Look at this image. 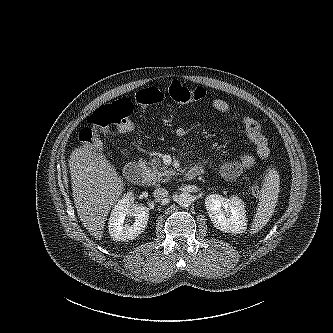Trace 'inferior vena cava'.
Here are the masks:
<instances>
[{"label": "inferior vena cava", "instance_id": "1", "mask_svg": "<svg viewBox=\"0 0 333 333\" xmlns=\"http://www.w3.org/2000/svg\"><path fill=\"white\" fill-rule=\"evenodd\" d=\"M153 195L156 200H162L168 196V191L164 188H157L154 190Z\"/></svg>", "mask_w": 333, "mask_h": 333}]
</instances>
